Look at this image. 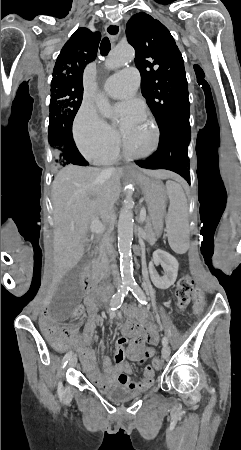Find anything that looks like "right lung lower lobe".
I'll use <instances>...</instances> for the list:
<instances>
[{
	"instance_id": "98d812e1",
	"label": "right lung lower lobe",
	"mask_w": 241,
	"mask_h": 450,
	"mask_svg": "<svg viewBox=\"0 0 241 450\" xmlns=\"http://www.w3.org/2000/svg\"><path fill=\"white\" fill-rule=\"evenodd\" d=\"M66 152L68 154V159L70 164L86 166L88 162L78 151L73 137H65Z\"/></svg>"
}]
</instances>
